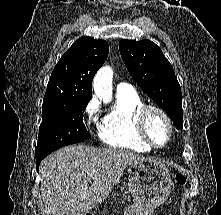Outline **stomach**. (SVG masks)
Masks as SVG:
<instances>
[{
    "label": "stomach",
    "mask_w": 221,
    "mask_h": 215,
    "mask_svg": "<svg viewBox=\"0 0 221 215\" xmlns=\"http://www.w3.org/2000/svg\"><path fill=\"white\" fill-rule=\"evenodd\" d=\"M128 186L134 203L124 215H153L171 191L172 178L166 165L154 159L133 163L128 167Z\"/></svg>",
    "instance_id": "0dacf381"
}]
</instances>
